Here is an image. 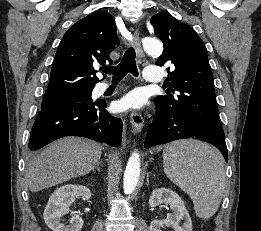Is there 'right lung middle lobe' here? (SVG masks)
<instances>
[{
  "label": "right lung middle lobe",
  "mask_w": 261,
  "mask_h": 231,
  "mask_svg": "<svg viewBox=\"0 0 261 231\" xmlns=\"http://www.w3.org/2000/svg\"><path fill=\"white\" fill-rule=\"evenodd\" d=\"M92 90L46 92L41 104V110L51 109L61 105L92 101Z\"/></svg>",
  "instance_id": "1"
}]
</instances>
